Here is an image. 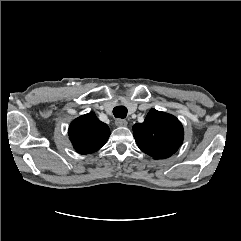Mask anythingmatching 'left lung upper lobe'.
Segmentation results:
<instances>
[{
	"label": "left lung upper lobe",
	"mask_w": 241,
	"mask_h": 241,
	"mask_svg": "<svg viewBox=\"0 0 241 241\" xmlns=\"http://www.w3.org/2000/svg\"><path fill=\"white\" fill-rule=\"evenodd\" d=\"M138 147L154 159H165L174 154L183 142L180 121L173 115L151 109L143 123L133 126Z\"/></svg>",
	"instance_id": "1"
}]
</instances>
